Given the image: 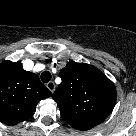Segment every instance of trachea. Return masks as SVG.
Masks as SVG:
<instances>
[{"label":"trachea","mask_w":136,"mask_h":136,"mask_svg":"<svg viewBox=\"0 0 136 136\" xmlns=\"http://www.w3.org/2000/svg\"><path fill=\"white\" fill-rule=\"evenodd\" d=\"M41 80L44 82V83H47L51 80V73L49 71H44L42 74H41Z\"/></svg>","instance_id":"obj_1"}]
</instances>
